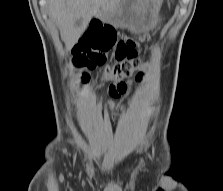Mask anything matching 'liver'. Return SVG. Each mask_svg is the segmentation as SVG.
Returning a JSON list of instances; mask_svg holds the SVG:
<instances>
[{
  "mask_svg": "<svg viewBox=\"0 0 223 191\" xmlns=\"http://www.w3.org/2000/svg\"><path fill=\"white\" fill-rule=\"evenodd\" d=\"M123 0H48L49 16L53 18L66 46H72L100 8L116 9ZM82 20L80 28L75 27Z\"/></svg>",
  "mask_w": 223,
  "mask_h": 191,
  "instance_id": "liver-1",
  "label": "liver"
}]
</instances>
